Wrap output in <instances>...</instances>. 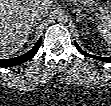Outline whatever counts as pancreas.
Wrapping results in <instances>:
<instances>
[{
  "label": "pancreas",
  "instance_id": "cf45deb5",
  "mask_svg": "<svg viewBox=\"0 0 111 106\" xmlns=\"http://www.w3.org/2000/svg\"><path fill=\"white\" fill-rule=\"evenodd\" d=\"M81 3H83V5L88 8L87 10H90L91 12H93V11H95V10H96V11H97V10L101 11V14L98 15L99 18H105V17H107V16H108V17H111V14H108V11L102 10L101 7H99V8L92 7L93 4H94L93 1L87 0V1H84V2H81ZM105 14H106V15H105Z\"/></svg>",
  "mask_w": 111,
  "mask_h": 106
}]
</instances>
